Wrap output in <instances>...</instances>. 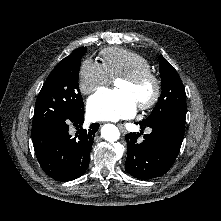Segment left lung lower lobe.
Wrapping results in <instances>:
<instances>
[{"label":"left lung lower lobe","mask_w":221,"mask_h":221,"mask_svg":"<svg viewBox=\"0 0 221 221\" xmlns=\"http://www.w3.org/2000/svg\"><path fill=\"white\" fill-rule=\"evenodd\" d=\"M186 113H173L152 122L140 121L141 129L152 128L137 139L140 133L125 136L128 151L125 162L127 172L138 179H150L165 174L173 165L180 151L184 136Z\"/></svg>","instance_id":"left-lung-lower-lobe-1"}]
</instances>
